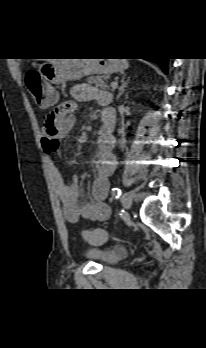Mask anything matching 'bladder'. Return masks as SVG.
Instances as JSON below:
<instances>
[{
	"instance_id": "obj_1",
	"label": "bladder",
	"mask_w": 206,
	"mask_h": 348,
	"mask_svg": "<svg viewBox=\"0 0 206 348\" xmlns=\"http://www.w3.org/2000/svg\"><path fill=\"white\" fill-rule=\"evenodd\" d=\"M84 254L97 262L110 265L126 259L128 251L126 248L119 246L111 248L88 247Z\"/></svg>"
}]
</instances>
